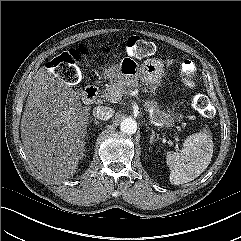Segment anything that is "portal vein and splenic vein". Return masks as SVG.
<instances>
[{"label": "portal vein and splenic vein", "instance_id": "portal-vein-and-splenic-vein-1", "mask_svg": "<svg viewBox=\"0 0 241 241\" xmlns=\"http://www.w3.org/2000/svg\"><path fill=\"white\" fill-rule=\"evenodd\" d=\"M120 96H121V93L117 92V93H115L114 98H110L108 100H110L111 103H116L117 98H119Z\"/></svg>", "mask_w": 241, "mask_h": 241}]
</instances>
